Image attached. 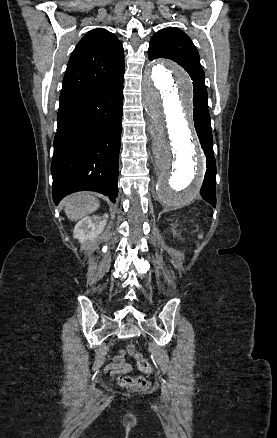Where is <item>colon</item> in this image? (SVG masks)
<instances>
[{
  "label": "colon",
  "mask_w": 277,
  "mask_h": 438,
  "mask_svg": "<svg viewBox=\"0 0 277 438\" xmlns=\"http://www.w3.org/2000/svg\"><path fill=\"white\" fill-rule=\"evenodd\" d=\"M128 353L130 357L134 358L137 362L139 369L144 373L152 372L151 363L136 349L132 344L128 345ZM118 383L131 392L141 391L144 389H156V380H146L144 377H133L130 375H122L117 378Z\"/></svg>",
  "instance_id": "obj_1"
}]
</instances>
